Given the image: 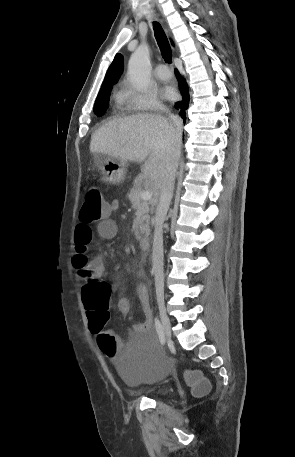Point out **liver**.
<instances>
[{
    "instance_id": "liver-1",
    "label": "liver",
    "mask_w": 295,
    "mask_h": 457,
    "mask_svg": "<svg viewBox=\"0 0 295 457\" xmlns=\"http://www.w3.org/2000/svg\"><path fill=\"white\" fill-rule=\"evenodd\" d=\"M177 148L180 151L173 123L156 114H137L110 121L94 133L90 143L91 153L143 163V178L156 191Z\"/></svg>"
}]
</instances>
